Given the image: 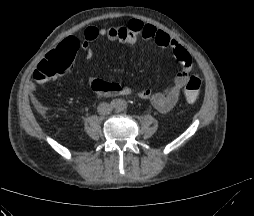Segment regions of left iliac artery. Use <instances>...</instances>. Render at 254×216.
<instances>
[{"label": "left iliac artery", "mask_w": 254, "mask_h": 216, "mask_svg": "<svg viewBox=\"0 0 254 216\" xmlns=\"http://www.w3.org/2000/svg\"><path fill=\"white\" fill-rule=\"evenodd\" d=\"M126 108H127V107H126V103H125L124 101H122V102L120 103L119 109L122 110V111H124Z\"/></svg>", "instance_id": "left-iliac-artery-1"}]
</instances>
